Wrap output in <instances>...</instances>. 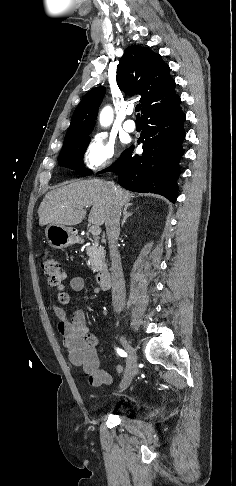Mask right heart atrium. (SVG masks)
Listing matches in <instances>:
<instances>
[{"mask_svg": "<svg viewBox=\"0 0 236 486\" xmlns=\"http://www.w3.org/2000/svg\"><path fill=\"white\" fill-rule=\"evenodd\" d=\"M117 155L115 142L104 133L95 134L84 152V163L89 170H99L113 163Z\"/></svg>", "mask_w": 236, "mask_h": 486, "instance_id": "1", "label": "right heart atrium"}]
</instances>
